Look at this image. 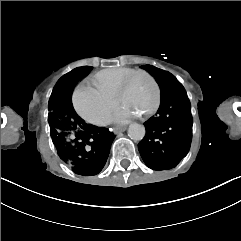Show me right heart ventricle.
<instances>
[{
  "label": "right heart ventricle",
  "mask_w": 241,
  "mask_h": 241,
  "mask_svg": "<svg viewBox=\"0 0 241 241\" xmlns=\"http://www.w3.org/2000/svg\"><path fill=\"white\" fill-rule=\"evenodd\" d=\"M132 72H134L133 69L126 67H109L87 77L81 86L88 87L89 84H94L99 87L101 92L109 91L112 93L118 89L124 76L130 75ZM104 98L108 97L104 96Z\"/></svg>",
  "instance_id": "right-heart-ventricle-1"
}]
</instances>
